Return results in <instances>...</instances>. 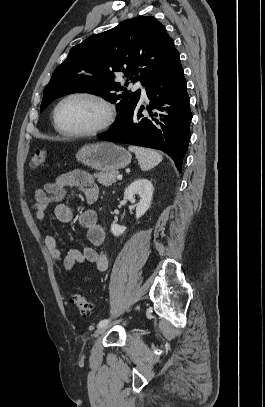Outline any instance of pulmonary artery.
Listing matches in <instances>:
<instances>
[{
  "instance_id": "pulmonary-artery-1",
  "label": "pulmonary artery",
  "mask_w": 265,
  "mask_h": 407,
  "mask_svg": "<svg viewBox=\"0 0 265 407\" xmlns=\"http://www.w3.org/2000/svg\"><path fill=\"white\" fill-rule=\"evenodd\" d=\"M136 87H137V88H141L142 97H143V98H146L147 95H146V90H145V88H144L139 82L136 84Z\"/></svg>"
}]
</instances>
